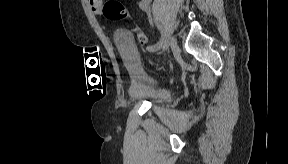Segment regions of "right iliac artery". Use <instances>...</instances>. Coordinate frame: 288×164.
Listing matches in <instances>:
<instances>
[{"label":"right iliac artery","mask_w":288,"mask_h":164,"mask_svg":"<svg viewBox=\"0 0 288 164\" xmlns=\"http://www.w3.org/2000/svg\"><path fill=\"white\" fill-rule=\"evenodd\" d=\"M162 46V37L160 38V40L154 44V45H148L146 47V50L150 53L156 52L157 50H159Z\"/></svg>","instance_id":"1"}]
</instances>
